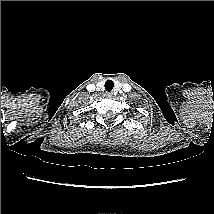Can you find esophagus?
I'll list each match as a JSON object with an SVG mask.
<instances>
[{"label":"esophagus","instance_id":"obj_1","mask_svg":"<svg viewBox=\"0 0 214 214\" xmlns=\"http://www.w3.org/2000/svg\"><path fill=\"white\" fill-rule=\"evenodd\" d=\"M106 96H107V97H112V96H113V93H112V92H107V93H106Z\"/></svg>","mask_w":214,"mask_h":214}]
</instances>
